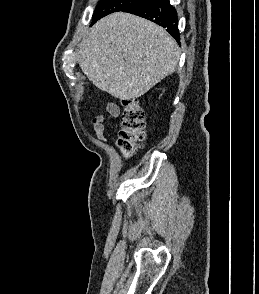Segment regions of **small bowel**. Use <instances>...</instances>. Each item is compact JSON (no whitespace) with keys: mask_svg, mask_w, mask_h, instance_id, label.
I'll return each mask as SVG.
<instances>
[{"mask_svg":"<svg viewBox=\"0 0 259 294\" xmlns=\"http://www.w3.org/2000/svg\"><path fill=\"white\" fill-rule=\"evenodd\" d=\"M120 108L115 103H109L106 107V113L95 117L92 120L94 132L99 140H105V125L109 118H116L119 116Z\"/></svg>","mask_w":259,"mask_h":294,"instance_id":"c3829d8e","label":"small bowel"}]
</instances>
